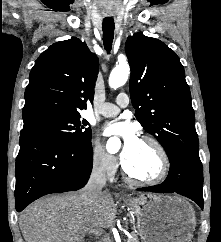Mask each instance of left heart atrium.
<instances>
[{
  "mask_svg": "<svg viewBox=\"0 0 221 242\" xmlns=\"http://www.w3.org/2000/svg\"><path fill=\"white\" fill-rule=\"evenodd\" d=\"M104 136H115L121 140L122 159H126L139 143L140 139L136 134L135 127L129 122L114 121L108 124L103 130Z\"/></svg>",
  "mask_w": 221,
  "mask_h": 242,
  "instance_id": "1",
  "label": "left heart atrium"
}]
</instances>
